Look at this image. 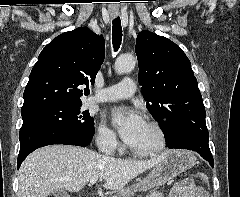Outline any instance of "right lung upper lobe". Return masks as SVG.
Segmentation results:
<instances>
[{
    "instance_id": "cb5924a9",
    "label": "right lung upper lobe",
    "mask_w": 240,
    "mask_h": 197,
    "mask_svg": "<svg viewBox=\"0 0 240 197\" xmlns=\"http://www.w3.org/2000/svg\"><path fill=\"white\" fill-rule=\"evenodd\" d=\"M105 57V41L87 27L54 38L40 53L24 91L22 110L49 103H79ZM84 86H87L84 88Z\"/></svg>"
}]
</instances>
